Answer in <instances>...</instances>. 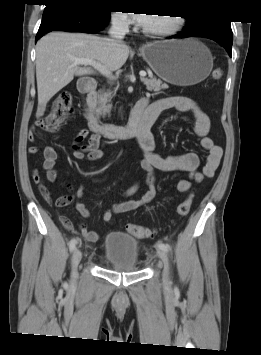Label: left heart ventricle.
Instances as JSON below:
<instances>
[{
	"mask_svg": "<svg viewBox=\"0 0 261 355\" xmlns=\"http://www.w3.org/2000/svg\"><path fill=\"white\" fill-rule=\"evenodd\" d=\"M173 17L167 15H150L144 28L155 30V29H164L168 28L173 24Z\"/></svg>",
	"mask_w": 261,
	"mask_h": 355,
	"instance_id": "obj_1",
	"label": "left heart ventricle"
}]
</instances>
